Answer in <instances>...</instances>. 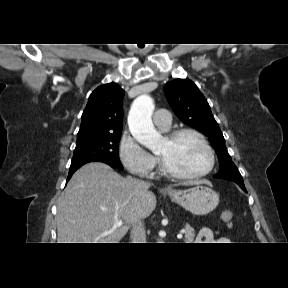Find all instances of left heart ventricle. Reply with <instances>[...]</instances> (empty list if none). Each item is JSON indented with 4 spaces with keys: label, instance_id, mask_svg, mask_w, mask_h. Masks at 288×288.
I'll use <instances>...</instances> for the list:
<instances>
[{
    "label": "left heart ventricle",
    "instance_id": "b2bd125f",
    "mask_svg": "<svg viewBox=\"0 0 288 288\" xmlns=\"http://www.w3.org/2000/svg\"><path fill=\"white\" fill-rule=\"evenodd\" d=\"M156 153L170 167L186 174L199 173L209 165L205 147L192 135H184L175 141L165 138Z\"/></svg>",
    "mask_w": 288,
    "mask_h": 288
}]
</instances>
